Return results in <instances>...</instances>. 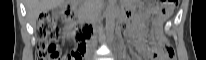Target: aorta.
<instances>
[{
	"label": "aorta",
	"mask_w": 206,
	"mask_h": 60,
	"mask_svg": "<svg viewBox=\"0 0 206 60\" xmlns=\"http://www.w3.org/2000/svg\"><path fill=\"white\" fill-rule=\"evenodd\" d=\"M115 4L113 0L109 1V5L106 8L105 16H106V30L108 38L113 36L114 27H115Z\"/></svg>",
	"instance_id": "1"
}]
</instances>
